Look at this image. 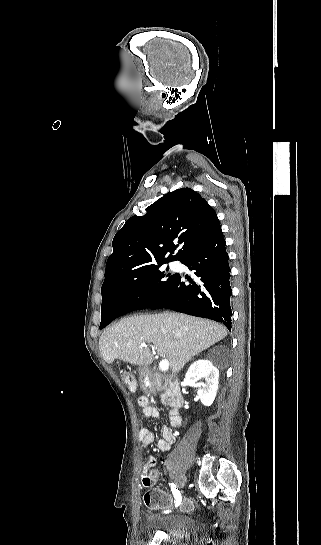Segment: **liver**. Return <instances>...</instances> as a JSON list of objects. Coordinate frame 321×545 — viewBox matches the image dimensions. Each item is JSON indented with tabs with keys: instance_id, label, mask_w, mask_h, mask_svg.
<instances>
[{
	"instance_id": "6515ba94",
	"label": "liver",
	"mask_w": 321,
	"mask_h": 545,
	"mask_svg": "<svg viewBox=\"0 0 321 545\" xmlns=\"http://www.w3.org/2000/svg\"><path fill=\"white\" fill-rule=\"evenodd\" d=\"M226 327L208 319H197L179 313L131 315L105 329L99 339V351L105 363L115 359L131 365L149 367L154 359L148 347L153 343L158 357H166L172 373H179L192 357L222 341Z\"/></svg>"
}]
</instances>
